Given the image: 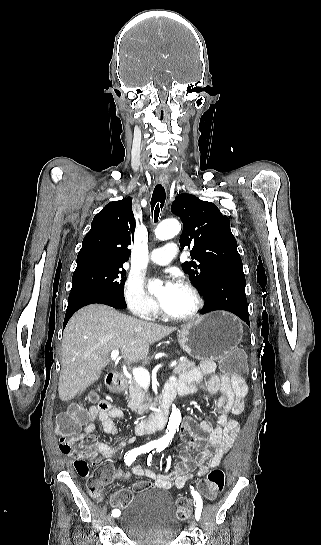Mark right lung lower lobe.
<instances>
[{
	"instance_id": "98d812e1",
	"label": "right lung lower lobe",
	"mask_w": 321,
	"mask_h": 545,
	"mask_svg": "<svg viewBox=\"0 0 321 545\" xmlns=\"http://www.w3.org/2000/svg\"><path fill=\"white\" fill-rule=\"evenodd\" d=\"M94 303L109 305L116 309H124L127 307L124 296H117L106 291L89 288L71 290L64 319V326L78 309Z\"/></svg>"
}]
</instances>
